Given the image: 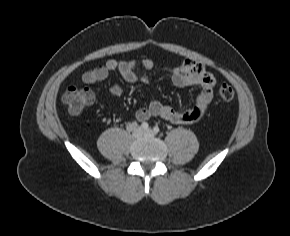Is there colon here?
I'll list each match as a JSON object with an SVG mask.
<instances>
[{
  "label": "colon",
  "mask_w": 290,
  "mask_h": 236,
  "mask_svg": "<svg viewBox=\"0 0 290 236\" xmlns=\"http://www.w3.org/2000/svg\"><path fill=\"white\" fill-rule=\"evenodd\" d=\"M218 95L222 100L230 101L234 98V90L231 86L223 84L219 87ZM94 99L93 90L78 86L68 87L62 96V101L67 105L68 111L72 115L80 114L94 102Z\"/></svg>",
  "instance_id": "1"
}]
</instances>
